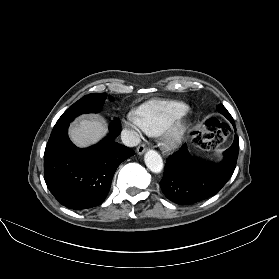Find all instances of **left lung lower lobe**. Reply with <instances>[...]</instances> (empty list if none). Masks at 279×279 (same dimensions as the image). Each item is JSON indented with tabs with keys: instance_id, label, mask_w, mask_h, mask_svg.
Segmentation results:
<instances>
[{
	"instance_id": "1",
	"label": "left lung lower lobe",
	"mask_w": 279,
	"mask_h": 279,
	"mask_svg": "<svg viewBox=\"0 0 279 279\" xmlns=\"http://www.w3.org/2000/svg\"><path fill=\"white\" fill-rule=\"evenodd\" d=\"M230 122L235 128L233 119ZM238 152L237 135L233 144L224 152L223 161L218 164L196 161L187 147L182 146L166 161L160 182L164 195L179 205H187L217 194L233 174Z\"/></svg>"
}]
</instances>
